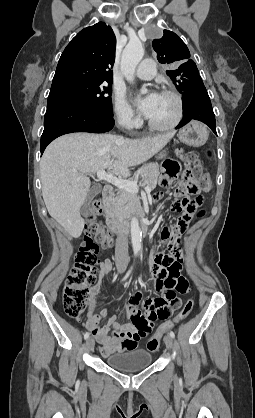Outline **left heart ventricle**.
<instances>
[{
	"instance_id": "obj_1",
	"label": "left heart ventricle",
	"mask_w": 255,
	"mask_h": 418,
	"mask_svg": "<svg viewBox=\"0 0 255 418\" xmlns=\"http://www.w3.org/2000/svg\"><path fill=\"white\" fill-rule=\"evenodd\" d=\"M176 111L177 104L175 100L170 96L160 94L148 119L155 124L166 125L174 119Z\"/></svg>"
}]
</instances>
